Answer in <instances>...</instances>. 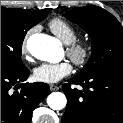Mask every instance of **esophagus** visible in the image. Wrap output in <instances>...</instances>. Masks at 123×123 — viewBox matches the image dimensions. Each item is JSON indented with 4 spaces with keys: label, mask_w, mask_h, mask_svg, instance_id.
I'll list each match as a JSON object with an SVG mask.
<instances>
[{
    "label": "esophagus",
    "mask_w": 123,
    "mask_h": 123,
    "mask_svg": "<svg viewBox=\"0 0 123 123\" xmlns=\"http://www.w3.org/2000/svg\"><path fill=\"white\" fill-rule=\"evenodd\" d=\"M49 88H50L51 91H56V90H58L60 87L57 86V85L51 84V85L49 86Z\"/></svg>",
    "instance_id": "esophagus-1"
}]
</instances>
